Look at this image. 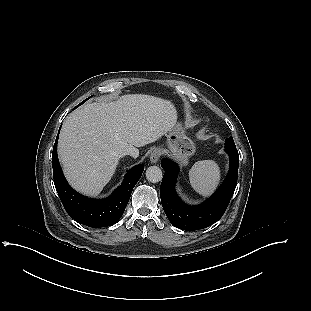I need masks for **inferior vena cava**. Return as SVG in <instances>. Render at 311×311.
<instances>
[{"label": "inferior vena cava", "instance_id": "inferior-vena-cava-1", "mask_svg": "<svg viewBox=\"0 0 311 311\" xmlns=\"http://www.w3.org/2000/svg\"><path fill=\"white\" fill-rule=\"evenodd\" d=\"M137 147L136 146H133V145H131V146H128V147H125L124 148V155L125 156H133V155H136L137 154Z\"/></svg>", "mask_w": 311, "mask_h": 311}]
</instances>
